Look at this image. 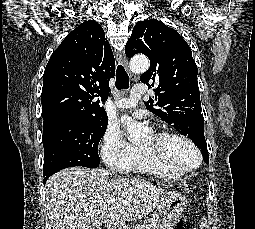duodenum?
I'll use <instances>...</instances> for the list:
<instances>
[{"instance_id":"410a0bca","label":"duodenum","mask_w":255,"mask_h":229,"mask_svg":"<svg viewBox=\"0 0 255 229\" xmlns=\"http://www.w3.org/2000/svg\"><path fill=\"white\" fill-rule=\"evenodd\" d=\"M107 229H126L123 223H112L107 226Z\"/></svg>"}]
</instances>
